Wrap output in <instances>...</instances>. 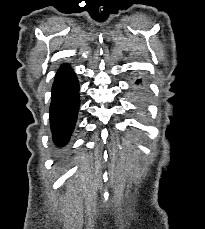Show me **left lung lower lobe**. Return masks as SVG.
Instances as JSON below:
<instances>
[{"label":"left lung lower lobe","mask_w":205,"mask_h":229,"mask_svg":"<svg viewBox=\"0 0 205 229\" xmlns=\"http://www.w3.org/2000/svg\"><path fill=\"white\" fill-rule=\"evenodd\" d=\"M141 83V80H137L136 84L139 85Z\"/></svg>","instance_id":"obj_1"}]
</instances>
